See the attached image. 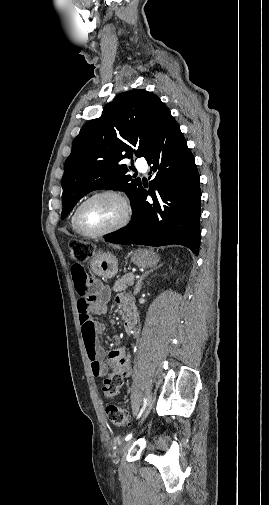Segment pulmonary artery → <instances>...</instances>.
I'll return each mask as SVG.
<instances>
[{"mask_svg":"<svg viewBox=\"0 0 269 505\" xmlns=\"http://www.w3.org/2000/svg\"><path fill=\"white\" fill-rule=\"evenodd\" d=\"M135 164H136L137 169L140 172H142V173L147 172L148 166H147V163L144 159H138Z\"/></svg>","mask_w":269,"mask_h":505,"instance_id":"e3ab8cb5","label":"pulmonary artery"}]
</instances>
